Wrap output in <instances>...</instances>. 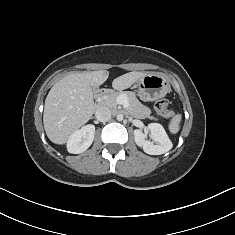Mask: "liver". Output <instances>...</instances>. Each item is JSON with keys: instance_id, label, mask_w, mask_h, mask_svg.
Instances as JSON below:
<instances>
[{"instance_id": "obj_1", "label": "liver", "mask_w": 235, "mask_h": 235, "mask_svg": "<svg viewBox=\"0 0 235 235\" xmlns=\"http://www.w3.org/2000/svg\"><path fill=\"white\" fill-rule=\"evenodd\" d=\"M145 72H129L115 78L112 87L124 90L131 87ZM109 76L106 70L68 74L49 91L44 106L45 132L55 144H65L70 136L92 117L95 105L92 87L102 85Z\"/></svg>"}]
</instances>
